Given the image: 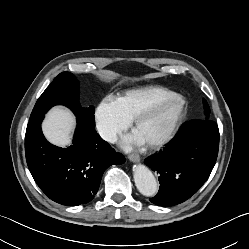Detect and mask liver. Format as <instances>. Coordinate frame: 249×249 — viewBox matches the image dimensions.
<instances>
[{"instance_id": "liver-1", "label": "liver", "mask_w": 249, "mask_h": 249, "mask_svg": "<svg viewBox=\"0 0 249 249\" xmlns=\"http://www.w3.org/2000/svg\"><path fill=\"white\" fill-rule=\"evenodd\" d=\"M75 116L64 107H54L46 115L42 130L49 142L65 147L71 143L75 128Z\"/></svg>"}]
</instances>
